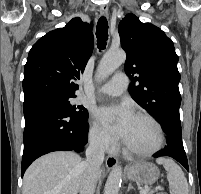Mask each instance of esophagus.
Here are the masks:
<instances>
[{
  "label": "esophagus",
  "mask_w": 201,
  "mask_h": 194,
  "mask_svg": "<svg viewBox=\"0 0 201 194\" xmlns=\"http://www.w3.org/2000/svg\"><path fill=\"white\" fill-rule=\"evenodd\" d=\"M100 15L107 17L108 16V6L102 5L99 9ZM118 164V160L114 156H107L106 157V167L108 169L114 168Z\"/></svg>",
  "instance_id": "1"
}]
</instances>
